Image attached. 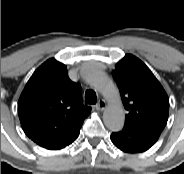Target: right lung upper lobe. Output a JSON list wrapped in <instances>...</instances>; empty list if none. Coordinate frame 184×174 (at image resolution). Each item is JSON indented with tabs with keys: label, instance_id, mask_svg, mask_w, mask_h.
Wrapping results in <instances>:
<instances>
[{
	"label": "right lung upper lobe",
	"instance_id": "cb5924a9",
	"mask_svg": "<svg viewBox=\"0 0 184 174\" xmlns=\"http://www.w3.org/2000/svg\"><path fill=\"white\" fill-rule=\"evenodd\" d=\"M90 112L91 107L82 103L81 86L68 78L66 66L54 58L33 73L18 102L24 132L44 148L68 136Z\"/></svg>",
	"mask_w": 184,
	"mask_h": 174
}]
</instances>
